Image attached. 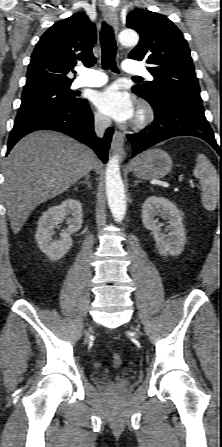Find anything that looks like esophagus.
Listing matches in <instances>:
<instances>
[{"mask_svg": "<svg viewBox=\"0 0 222 447\" xmlns=\"http://www.w3.org/2000/svg\"><path fill=\"white\" fill-rule=\"evenodd\" d=\"M104 17L105 20L108 22V24H110L111 26L114 27V31L115 34H117L118 32V17L116 12L110 10V9H106L104 11ZM124 142H125V135L124 133H122L121 131L115 130L113 137H112V142H111V149L118 153L119 156L123 159L126 156V153L124 151Z\"/></svg>", "mask_w": 222, "mask_h": 447, "instance_id": "esophagus-1", "label": "esophagus"}]
</instances>
